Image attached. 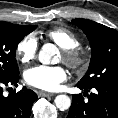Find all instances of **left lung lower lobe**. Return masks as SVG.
Returning a JSON list of instances; mask_svg holds the SVG:
<instances>
[{
  "instance_id": "1",
  "label": "left lung lower lobe",
  "mask_w": 118,
  "mask_h": 118,
  "mask_svg": "<svg viewBox=\"0 0 118 118\" xmlns=\"http://www.w3.org/2000/svg\"><path fill=\"white\" fill-rule=\"evenodd\" d=\"M77 87L84 90V96L88 95L87 92L92 88L96 92L90 93L88 100H84L82 94H73L66 118H118V82L105 83L92 88L77 84Z\"/></svg>"
}]
</instances>
